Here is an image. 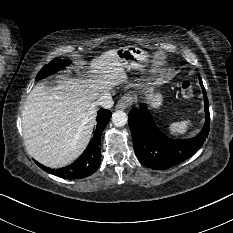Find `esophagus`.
<instances>
[{
  "label": "esophagus",
  "mask_w": 233,
  "mask_h": 233,
  "mask_svg": "<svg viewBox=\"0 0 233 233\" xmlns=\"http://www.w3.org/2000/svg\"><path fill=\"white\" fill-rule=\"evenodd\" d=\"M132 102H133L132 96L126 95V96L122 97V98L118 101V103H117V105H116V108H117V109H126V108H128L129 106L132 105Z\"/></svg>",
  "instance_id": "obj_1"
}]
</instances>
